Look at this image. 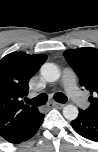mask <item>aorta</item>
I'll return each mask as SVG.
<instances>
[{
  "instance_id": "aorta-1",
  "label": "aorta",
  "mask_w": 98,
  "mask_h": 152,
  "mask_svg": "<svg viewBox=\"0 0 98 152\" xmlns=\"http://www.w3.org/2000/svg\"><path fill=\"white\" fill-rule=\"evenodd\" d=\"M41 75L48 82H55L60 78V70L53 63H45L41 67ZM78 108L74 105H66L63 108V116L68 120H74L78 116Z\"/></svg>"
}]
</instances>
